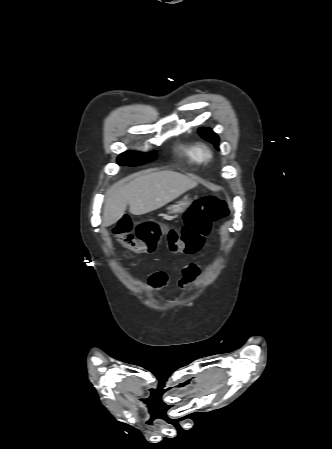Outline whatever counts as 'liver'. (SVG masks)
<instances>
[{
	"label": "liver",
	"instance_id": "liver-1",
	"mask_svg": "<svg viewBox=\"0 0 332 449\" xmlns=\"http://www.w3.org/2000/svg\"><path fill=\"white\" fill-rule=\"evenodd\" d=\"M197 186V181L175 171L141 175L130 183L113 187L104 204L103 226L118 222L127 205L133 215H143L173 201Z\"/></svg>",
	"mask_w": 332,
	"mask_h": 449
}]
</instances>
